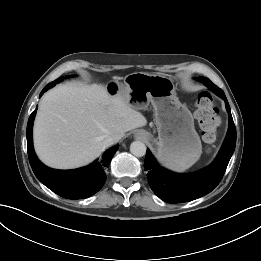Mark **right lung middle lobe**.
Returning a JSON list of instances; mask_svg holds the SVG:
<instances>
[{
	"label": "right lung middle lobe",
	"instance_id": "right-lung-middle-lobe-1",
	"mask_svg": "<svg viewBox=\"0 0 261 261\" xmlns=\"http://www.w3.org/2000/svg\"><path fill=\"white\" fill-rule=\"evenodd\" d=\"M63 78L61 77V78H58L57 80H55V81H61Z\"/></svg>",
	"mask_w": 261,
	"mask_h": 261
}]
</instances>
